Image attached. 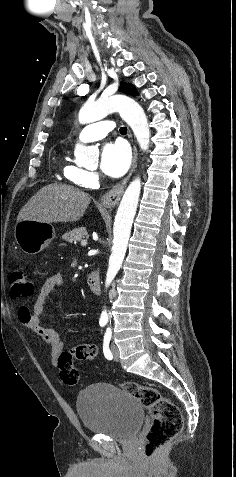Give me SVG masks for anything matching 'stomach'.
Here are the masks:
<instances>
[{
  "mask_svg": "<svg viewBox=\"0 0 236 477\" xmlns=\"http://www.w3.org/2000/svg\"><path fill=\"white\" fill-rule=\"evenodd\" d=\"M14 236L23 252L34 255L45 249L55 238V229L51 223L23 219L17 222Z\"/></svg>",
  "mask_w": 236,
  "mask_h": 477,
  "instance_id": "0dacf381",
  "label": "stomach"
}]
</instances>
